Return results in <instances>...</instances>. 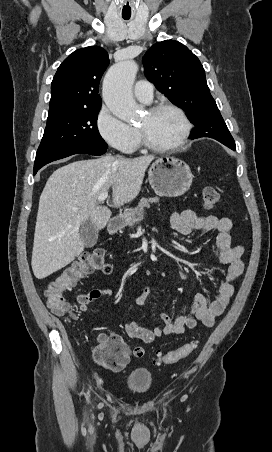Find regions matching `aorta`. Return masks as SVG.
Here are the masks:
<instances>
[{"mask_svg":"<svg viewBox=\"0 0 272 452\" xmlns=\"http://www.w3.org/2000/svg\"><path fill=\"white\" fill-rule=\"evenodd\" d=\"M137 71L135 61H123L111 67L103 81V100L108 109L123 121H132L138 116V107L132 94Z\"/></svg>","mask_w":272,"mask_h":452,"instance_id":"obj_1","label":"aorta"}]
</instances>
